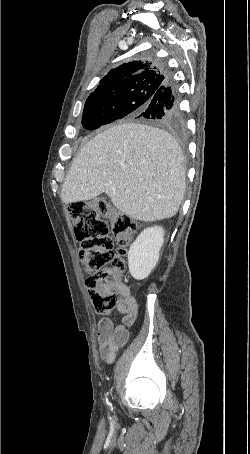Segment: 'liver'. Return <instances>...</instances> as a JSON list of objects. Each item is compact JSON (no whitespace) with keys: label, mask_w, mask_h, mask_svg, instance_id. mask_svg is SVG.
Returning a JSON list of instances; mask_svg holds the SVG:
<instances>
[{"label":"liver","mask_w":250,"mask_h":454,"mask_svg":"<svg viewBox=\"0 0 250 454\" xmlns=\"http://www.w3.org/2000/svg\"><path fill=\"white\" fill-rule=\"evenodd\" d=\"M182 151L166 131L139 123L115 125L88 141L73 160L61 189L65 204L105 192L135 220L174 216L185 194Z\"/></svg>","instance_id":"obj_1"}]
</instances>
